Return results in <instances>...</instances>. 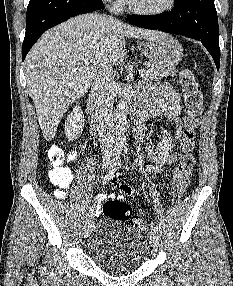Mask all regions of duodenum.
I'll return each mask as SVG.
<instances>
[{"label": "duodenum", "mask_w": 233, "mask_h": 286, "mask_svg": "<svg viewBox=\"0 0 233 286\" xmlns=\"http://www.w3.org/2000/svg\"><path fill=\"white\" fill-rule=\"evenodd\" d=\"M87 111L91 119L92 130L94 131L99 130L101 126H100V121L98 120V116L95 110L93 99L89 100ZM131 118L133 122L137 124V126H140L146 120V117L138 103H133L131 106Z\"/></svg>", "instance_id": "obj_1"}]
</instances>
